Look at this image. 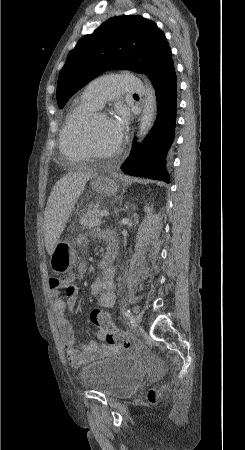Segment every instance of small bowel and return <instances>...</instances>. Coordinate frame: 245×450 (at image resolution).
<instances>
[{
  "instance_id": "obj_1",
  "label": "small bowel",
  "mask_w": 245,
  "mask_h": 450,
  "mask_svg": "<svg viewBox=\"0 0 245 450\" xmlns=\"http://www.w3.org/2000/svg\"><path fill=\"white\" fill-rule=\"evenodd\" d=\"M86 236L78 237V244L83 245L86 242ZM118 248L117 240L109 238V245L106 252L107 257L112 260ZM85 269L79 267L78 274L83 276ZM115 268L111 265L110 269L104 272L101 278L96 279L92 284V292L96 295L98 307L100 309L111 308L115 304ZM74 275L67 276L66 281H61L56 277L49 278L50 293L53 298L52 308L56 315L57 324L60 331L63 347L67 354L68 362L71 366L77 368L92 360L98 355L108 352V348L100 346L96 341L90 340L86 344H77L75 332L71 326L70 320L66 315L67 309H73L81 294V289L72 282ZM97 336L104 340V332L99 329Z\"/></svg>"
}]
</instances>
